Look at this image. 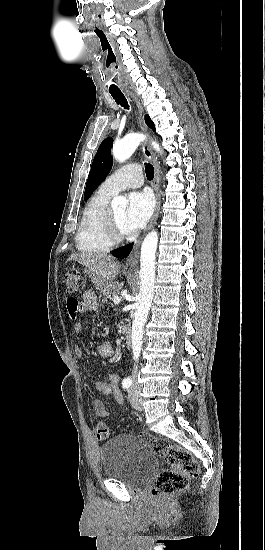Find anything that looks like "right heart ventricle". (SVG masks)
Wrapping results in <instances>:
<instances>
[{
	"instance_id": "e07e8e85",
	"label": "right heart ventricle",
	"mask_w": 265,
	"mask_h": 550,
	"mask_svg": "<svg viewBox=\"0 0 265 550\" xmlns=\"http://www.w3.org/2000/svg\"><path fill=\"white\" fill-rule=\"evenodd\" d=\"M113 194L101 186L87 202L76 232L75 242L82 252H107L113 245L108 239L104 222Z\"/></svg>"
}]
</instances>
